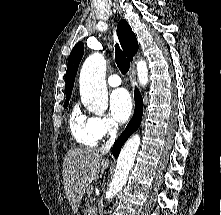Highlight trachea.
Returning <instances> with one entry per match:
<instances>
[{
	"instance_id": "trachea-1",
	"label": "trachea",
	"mask_w": 221,
	"mask_h": 215,
	"mask_svg": "<svg viewBox=\"0 0 221 215\" xmlns=\"http://www.w3.org/2000/svg\"><path fill=\"white\" fill-rule=\"evenodd\" d=\"M115 61L122 74H126L129 71V61L118 45H116L115 50Z\"/></svg>"
}]
</instances>
